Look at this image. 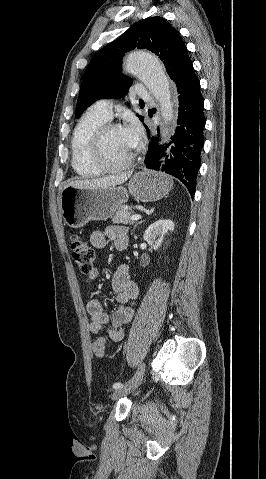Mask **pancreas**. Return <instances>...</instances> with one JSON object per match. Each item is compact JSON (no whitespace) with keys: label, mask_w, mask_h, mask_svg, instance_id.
<instances>
[{"label":"pancreas","mask_w":266,"mask_h":479,"mask_svg":"<svg viewBox=\"0 0 266 479\" xmlns=\"http://www.w3.org/2000/svg\"><path fill=\"white\" fill-rule=\"evenodd\" d=\"M132 215H134L133 211L119 209L112 218V222L117 224H133L134 221L130 219Z\"/></svg>","instance_id":"1"}]
</instances>
